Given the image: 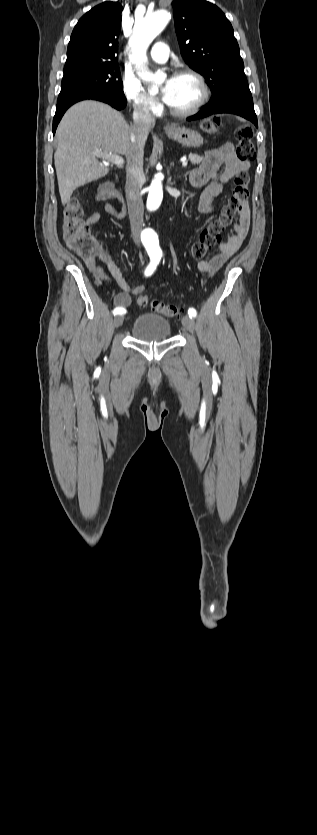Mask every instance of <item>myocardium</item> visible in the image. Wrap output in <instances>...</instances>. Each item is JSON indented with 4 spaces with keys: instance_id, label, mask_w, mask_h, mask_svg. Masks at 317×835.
Masks as SVG:
<instances>
[{
    "instance_id": "1",
    "label": "myocardium",
    "mask_w": 317,
    "mask_h": 835,
    "mask_svg": "<svg viewBox=\"0 0 317 835\" xmlns=\"http://www.w3.org/2000/svg\"><path fill=\"white\" fill-rule=\"evenodd\" d=\"M184 76L191 77L196 81V83L199 87V97L196 100V102L190 108L185 109V110H177V109H174V108H172L171 106L168 105V110H169L170 114L175 116V117H179V118H185V117H189V116H192V115L196 114L204 106V104L207 102V100L209 98L208 85L206 83L205 78L199 72H197L196 70L190 69V68H183V69L178 70L175 73L174 77H184Z\"/></svg>"
}]
</instances>
